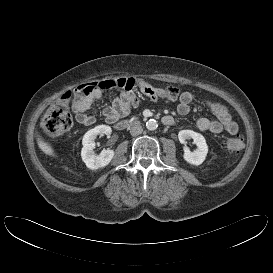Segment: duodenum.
<instances>
[{
    "mask_svg": "<svg viewBox=\"0 0 273 273\" xmlns=\"http://www.w3.org/2000/svg\"><path fill=\"white\" fill-rule=\"evenodd\" d=\"M166 122H167V119L162 118V123L166 125ZM138 123H139V121L137 119H133V118L117 120V121L113 122L114 126L118 129H126L131 126L137 125Z\"/></svg>",
    "mask_w": 273,
    "mask_h": 273,
    "instance_id": "duodenum-1",
    "label": "duodenum"
}]
</instances>
